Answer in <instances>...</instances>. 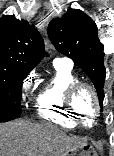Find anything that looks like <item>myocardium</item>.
Wrapping results in <instances>:
<instances>
[{"label": "myocardium", "instance_id": "myocardium-1", "mask_svg": "<svg viewBox=\"0 0 114 156\" xmlns=\"http://www.w3.org/2000/svg\"><path fill=\"white\" fill-rule=\"evenodd\" d=\"M83 89L88 90L94 100V106H95L94 117H93V122L90 125L85 124V122L83 121L81 117V114L79 113V111L77 110L75 106L76 96ZM66 106L69 112L71 113V115L73 116V118L75 119V121L79 125L85 128L93 127L97 123L100 112H101V104H100L99 96L95 87L91 85L90 83H87L84 81H78L69 87L67 94H66Z\"/></svg>", "mask_w": 114, "mask_h": 156}]
</instances>
